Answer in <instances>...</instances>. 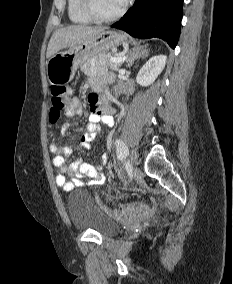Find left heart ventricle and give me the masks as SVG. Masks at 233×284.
<instances>
[{
    "mask_svg": "<svg viewBox=\"0 0 233 284\" xmlns=\"http://www.w3.org/2000/svg\"><path fill=\"white\" fill-rule=\"evenodd\" d=\"M98 11L104 15H111L117 12L122 3L120 0H95Z\"/></svg>",
    "mask_w": 233,
    "mask_h": 284,
    "instance_id": "obj_1",
    "label": "left heart ventricle"
}]
</instances>
